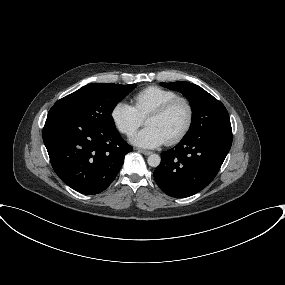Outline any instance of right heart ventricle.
<instances>
[{
    "label": "right heart ventricle",
    "instance_id": "obj_1",
    "mask_svg": "<svg viewBox=\"0 0 285 285\" xmlns=\"http://www.w3.org/2000/svg\"><path fill=\"white\" fill-rule=\"evenodd\" d=\"M176 96L178 94L173 90L149 86L133 96V107L142 118H145L150 111Z\"/></svg>",
    "mask_w": 285,
    "mask_h": 285
}]
</instances>
